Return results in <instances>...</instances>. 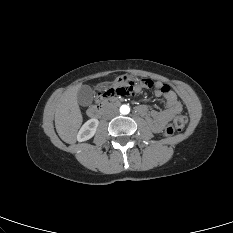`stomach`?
<instances>
[{"label":"stomach","mask_w":233,"mask_h":233,"mask_svg":"<svg viewBox=\"0 0 233 233\" xmlns=\"http://www.w3.org/2000/svg\"><path fill=\"white\" fill-rule=\"evenodd\" d=\"M132 82H133V79L128 74H125L123 76L116 75L111 80L112 85L116 88H120L122 86L128 87L132 84Z\"/></svg>","instance_id":"stomach-1"}]
</instances>
